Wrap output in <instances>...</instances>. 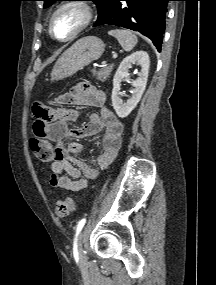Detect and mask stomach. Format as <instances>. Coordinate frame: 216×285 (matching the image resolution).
<instances>
[{"mask_svg": "<svg viewBox=\"0 0 216 285\" xmlns=\"http://www.w3.org/2000/svg\"><path fill=\"white\" fill-rule=\"evenodd\" d=\"M105 44L96 36H87L76 41L58 59L51 72V80H62L73 76L104 52Z\"/></svg>", "mask_w": 216, "mask_h": 285, "instance_id": "obj_1", "label": "stomach"}]
</instances>
